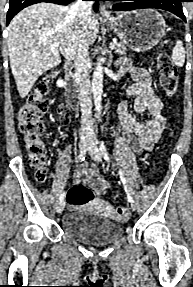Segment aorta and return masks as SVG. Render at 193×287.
<instances>
[{"label": "aorta", "mask_w": 193, "mask_h": 287, "mask_svg": "<svg viewBox=\"0 0 193 287\" xmlns=\"http://www.w3.org/2000/svg\"><path fill=\"white\" fill-rule=\"evenodd\" d=\"M92 91L95 101V109L97 117L100 118L102 111V93H103V66L102 59H98V63L93 72L92 78Z\"/></svg>", "instance_id": "obj_1"}]
</instances>
